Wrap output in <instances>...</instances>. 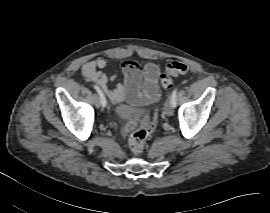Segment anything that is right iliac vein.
Instances as JSON below:
<instances>
[{
	"instance_id": "obj_1",
	"label": "right iliac vein",
	"mask_w": 270,
	"mask_h": 213,
	"mask_svg": "<svg viewBox=\"0 0 270 213\" xmlns=\"http://www.w3.org/2000/svg\"><path fill=\"white\" fill-rule=\"evenodd\" d=\"M93 102H94V104H95V106H96L97 108L100 107V99H99L98 96H94V97H93Z\"/></svg>"
}]
</instances>
